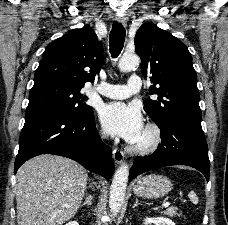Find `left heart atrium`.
Returning <instances> with one entry per match:
<instances>
[{"label":"left heart atrium","mask_w":228,"mask_h":225,"mask_svg":"<svg viewBox=\"0 0 228 225\" xmlns=\"http://www.w3.org/2000/svg\"><path fill=\"white\" fill-rule=\"evenodd\" d=\"M100 120L109 135L128 142L138 140L144 131L140 111L123 102L106 104L100 111Z\"/></svg>","instance_id":"39dd6f15"}]
</instances>
